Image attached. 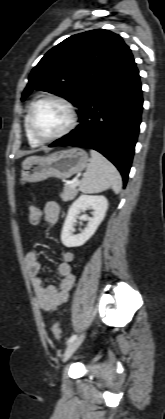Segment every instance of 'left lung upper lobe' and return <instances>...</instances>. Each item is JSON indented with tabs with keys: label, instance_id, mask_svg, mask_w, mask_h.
<instances>
[{
	"label": "left lung upper lobe",
	"instance_id": "left-lung-upper-lobe-1",
	"mask_svg": "<svg viewBox=\"0 0 165 419\" xmlns=\"http://www.w3.org/2000/svg\"><path fill=\"white\" fill-rule=\"evenodd\" d=\"M133 58L122 38L96 29L70 36L49 50L32 70L21 100L34 89L61 96L78 108Z\"/></svg>",
	"mask_w": 165,
	"mask_h": 419
}]
</instances>
